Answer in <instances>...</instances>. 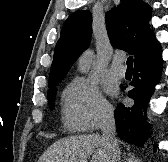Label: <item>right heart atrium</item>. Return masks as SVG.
I'll return each instance as SVG.
<instances>
[{
	"label": "right heart atrium",
	"mask_w": 168,
	"mask_h": 162,
	"mask_svg": "<svg viewBox=\"0 0 168 162\" xmlns=\"http://www.w3.org/2000/svg\"><path fill=\"white\" fill-rule=\"evenodd\" d=\"M113 118V108L103 97L98 84L88 78H75L64 96L63 120L77 131H93Z\"/></svg>",
	"instance_id": "right-heart-atrium-1"
}]
</instances>
